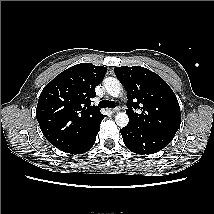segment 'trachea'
Segmentation results:
<instances>
[{"label":"trachea","instance_id":"1","mask_svg":"<svg viewBox=\"0 0 214 214\" xmlns=\"http://www.w3.org/2000/svg\"><path fill=\"white\" fill-rule=\"evenodd\" d=\"M99 107L101 108H115L116 105H115V102L114 101H109V100H102L99 102Z\"/></svg>","mask_w":214,"mask_h":214}]
</instances>
